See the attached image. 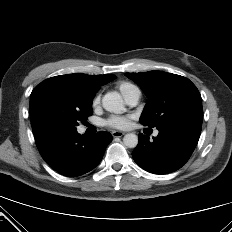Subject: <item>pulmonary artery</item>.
<instances>
[{
    "label": "pulmonary artery",
    "mask_w": 232,
    "mask_h": 232,
    "mask_svg": "<svg viewBox=\"0 0 232 232\" xmlns=\"http://www.w3.org/2000/svg\"><path fill=\"white\" fill-rule=\"evenodd\" d=\"M141 93L140 91L136 92L135 94H133L132 96H130L129 98L126 99V102L131 105L134 106L138 103L139 99H140ZM154 135H158V131L154 132Z\"/></svg>",
    "instance_id": "obj_1"
}]
</instances>
